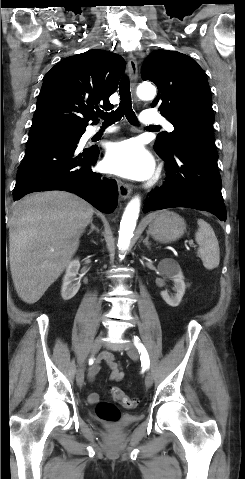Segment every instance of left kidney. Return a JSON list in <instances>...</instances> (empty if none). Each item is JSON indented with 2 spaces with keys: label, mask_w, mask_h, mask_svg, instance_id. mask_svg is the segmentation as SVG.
Returning <instances> with one entry per match:
<instances>
[{
  "label": "left kidney",
  "mask_w": 245,
  "mask_h": 479,
  "mask_svg": "<svg viewBox=\"0 0 245 479\" xmlns=\"http://www.w3.org/2000/svg\"><path fill=\"white\" fill-rule=\"evenodd\" d=\"M158 270L161 275L170 277L174 282L175 295L170 296L167 291H162L161 296L163 300L169 306H178L183 298L186 288L184 276L178 262L171 258H165L159 263Z\"/></svg>",
  "instance_id": "obj_1"
}]
</instances>
